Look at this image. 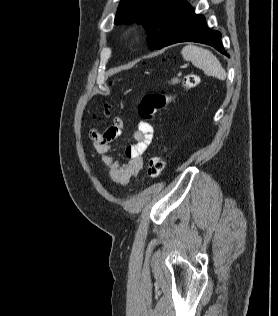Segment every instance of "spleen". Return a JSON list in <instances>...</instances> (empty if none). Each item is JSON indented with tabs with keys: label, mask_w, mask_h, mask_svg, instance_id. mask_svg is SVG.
<instances>
[{
	"label": "spleen",
	"mask_w": 278,
	"mask_h": 316,
	"mask_svg": "<svg viewBox=\"0 0 278 316\" xmlns=\"http://www.w3.org/2000/svg\"><path fill=\"white\" fill-rule=\"evenodd\" d=\"M181 54L186 61H191L194 66L202 69L206 75L215 76L221 80L226 79V72L217 57L209 50L188 45Z\"/></svg>",
	"instance_id": "obj_1"
}]
</instances>
